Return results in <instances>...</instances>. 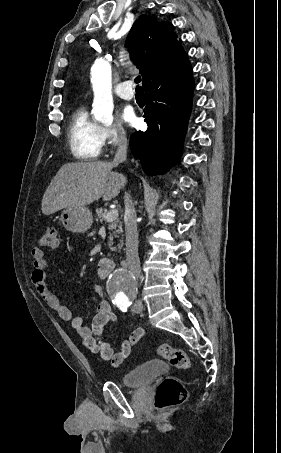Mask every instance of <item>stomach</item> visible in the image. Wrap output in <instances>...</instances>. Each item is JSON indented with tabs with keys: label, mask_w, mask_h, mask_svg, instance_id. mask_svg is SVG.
Masks as SVG:
<instances>
[{
	"label": "stomach",
	"mask_w": 281,
	"mask_h": 453,
	"mask_svg": "<svg viewBox=\"0 0 281 453\" xmlns=\"http://www.w3.org/2000/svg\"><path fill=\"white\" fill-rule=\"evenodd\" d=\"M60 220L71 233H86L90 229L93 216L87 206H71L62 210Z\"/></svg>",
	"instance_id": "stomach-1"
}]
</instances>
